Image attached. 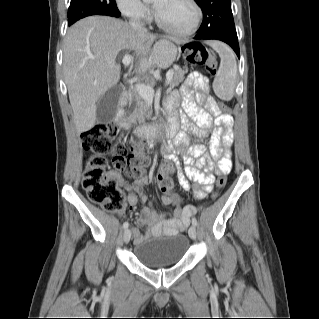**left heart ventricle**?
<instances>
[{"label": "left heart ventricle", "mask_w": 319, "mask_h": 319, "mask_svg": "<svg viewBox=\"0 0 319 319\" xmlns=\"http://www.w3.org/2000/svg\"><path fill=\"white\" fill-rule=\"evenodd\" d=\"M153 4L162 20L175 29H187L194 20L195 11L187 0H154Z\"/></svg>", "instance_id": "b2bd125f"}]
</instances>
